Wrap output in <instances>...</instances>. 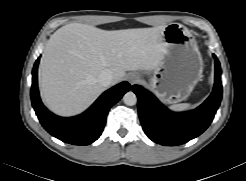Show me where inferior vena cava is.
Wrapping results in <instances>:
<instances>
[{
	"label": "inferior vena cava",
	"mask_w": 246,
	"mask_h": 181,
	"mask_svg": "<svg viewBox=\"0 0 246 181\" xmlns=\"http://www.w3.org/2000/svg\"><path fill=\"white\" fill-rule=\"evenodd\" d=\"M98 83L102 86H109L113 83V73L109 69L103 70L98 76Z\"/></svg>",
	"instance_id": "1"
}]
</instances>
